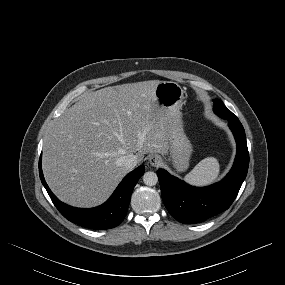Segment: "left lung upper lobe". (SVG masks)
Returning <instances> with one entry per match:
<instances>
[{"mask_svg": "<svg viewBox=\"0 0 285 285\" xmlns=\"http://www.w3.org/2000/svg\"><path fill=\"white\" fill-rule=\"evenodd\" d=\"M214 112L223 119L238 120V118L228 110L220 100H214Z\"/></svg>", "mask_w": 285, "mask_h": 285, "instance_id": "obj_1", "label": "left lung upper lobe"}]
</instances>
